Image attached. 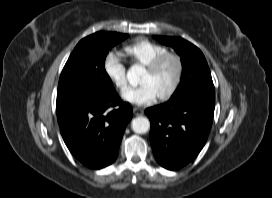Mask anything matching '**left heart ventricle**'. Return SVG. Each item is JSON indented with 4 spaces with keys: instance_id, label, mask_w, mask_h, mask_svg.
<instances>
[{
    "instance_id": "left-heart-ventricle-1",
    "label": "left heart ventricle",
    "mask_w": 272,
    "mask_h": 198,
    "mask_svg": "<svg viewBox=\"0 0 272 198\" xmlns=\"http://www.w3.org/2000/svg\"><path fill=\"white\" fill-rule=\"evenodd\" d=\"M176 75V64L173 60H168L155 73L148 70L142 76L141 83H149L156 90L158 96L165 92L173 83Z\"/></svg>"
}]
</instances>
